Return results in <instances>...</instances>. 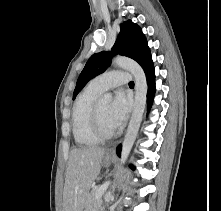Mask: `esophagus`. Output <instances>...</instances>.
<instances>
[{
  "label": "esophagus",
  "mask_w": 221,
  "mask_h": 211,
  "mask_svg": "<svg viewBox=\"0 0 221 211\" xmlns=\"http://www.w3.org/2000/svg\"><path fill=\"white\" fill-rule=\"evenodd\" d=\"M109 152H110L111 154H113V153H114V148L110 149Z\"/></svg>",
  "instance_id": "1"
}]
</instances>
